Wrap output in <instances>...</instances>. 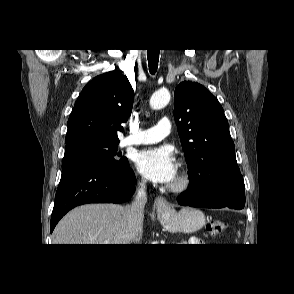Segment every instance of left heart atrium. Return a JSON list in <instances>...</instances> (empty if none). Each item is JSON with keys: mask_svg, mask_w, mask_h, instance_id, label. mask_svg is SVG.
Listing matches in <instances>:
<instances>
[{"mask_svg": "<svg viewBox=\"0 0 294 294\" xmlns=\"http://www.w3.org/2000/svg\"><path fill=\"white\" fill-rule=\"evenodd\" d=\"M135 163L140 174L153 182L169 184L177 175L174 154L165 147L140 151L135 156Z\"/></svg>", "mask_w": 294, "mask_h": 294, "instance_id": "obj_1", "label": "left heart atrium"}]
</instances>
